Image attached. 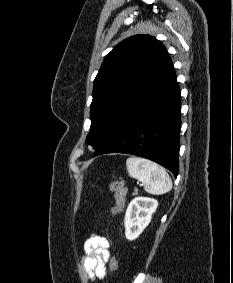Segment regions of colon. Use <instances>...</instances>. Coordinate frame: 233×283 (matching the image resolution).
<instances>
[{
	"instance_id": "colon-1",
	"label": "colon",
	"mask_w": 233,
	"mask_h": 283,
	"mask_svg": "<svg viewBox=\"0 0 233 283\" xmlns=\"http://www.w3.org/2000/svg\"><path fill=\"white\" fill-rule=\"evenodd\" d=\"M109 190L113 193L115 198V205L111 209V214H116L120 212L126 203L127 199V188L122 180H114L109 184ZM110 269L112 272H116L118 270V261L115 256H111L110 260Z\"/></svg>"
}]
</instances>
